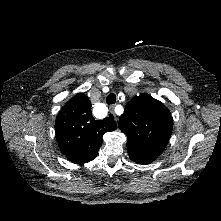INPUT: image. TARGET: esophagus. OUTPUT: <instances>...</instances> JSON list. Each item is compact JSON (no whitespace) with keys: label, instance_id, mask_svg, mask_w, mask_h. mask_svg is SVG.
<instances>
[{"label":"esophagus","instance_id":"esophagus-1","mask_svg":"<svg viewBox=\"0 0 221 221\" xmlns=\"http://www.w3.org/2000/svg\"><path fill=\"white\" fill-rule=\"evenodd\" d=\"M114 108H115V105H111V106L109 107V109H110V115L114 118L115 121H118V117H117V115H116L115 112H114Z\"/></svg>","mask_w":221,"mask_h":221}]
</instances>
